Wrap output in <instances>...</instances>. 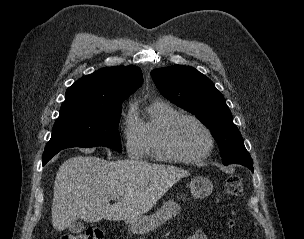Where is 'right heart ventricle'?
Returning <instances> with one entry per match:
<instances>
[{"label": "right heart ventricle", "instance_id": "obj_1", "mask_svg": "<svg viewBox=\"0 0 304 239\" xmlns=\"http://www.w3.org/2000/svg\"><path fill=\"white\" fill-rule=\"evenodd\" d=\"M178 114L180 113L176 108L162 100L153 101L148 105L147 117L140 121L142 157L159 162L170 161L162 148V136L167 123Z\"/></svg>", "mask_w": 304, "mask_h": 239}]
</instances>
